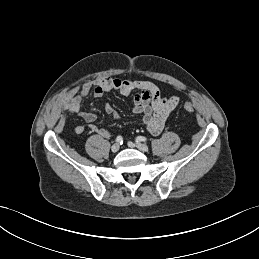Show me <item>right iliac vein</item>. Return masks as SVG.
I'll return each mask as SVG.
<instances>
[{
    "instance_id": "obj_1",
    "label": "right iliac vein",
    "mask_w": 259,
    "mask_h": 259,
    "mask_svg": "<svg viewBox=\"0 0 259 259\" xmlns=\"http://www.w3.org/2000/svg\"><path fill=\"white\" fill-rule=\"evenodd\" d=\"M120 146L119 144H114L112 147H111V151L116 153L118 150H119Z\"/></svg>"
}]
</instances>
